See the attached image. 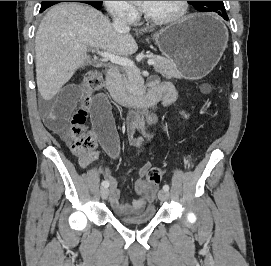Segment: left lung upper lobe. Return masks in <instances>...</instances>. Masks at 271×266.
I'll return each mask as SVG.
<instances>
[{"mask_svg": "<svg viewBox=\"0 0 271 266\" xmlns=\"http://www.w3.org/2000/svg\"><path fill=\"white\" fill-rule=\"evenodd\" d=\"M201 12L226 13L223 1H188Z\"/></svg>", "mask_w": 271, "mask_h": 266, "instance_id": "1", "label": "left lung upper lobe"}]
</instances>
